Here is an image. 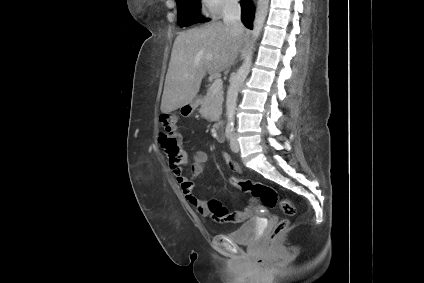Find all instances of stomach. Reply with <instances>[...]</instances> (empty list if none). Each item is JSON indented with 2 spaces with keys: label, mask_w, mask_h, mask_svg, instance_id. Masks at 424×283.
I'll return each mask as SVG.
<instances>
[{
  "label": "stomach",
  "mask_w": 424,
  "mask_h": 283,
  "mask_svg": "<svg viewBox=\"0 0 424 283\" xmlns=\"http://www.w3.org/2000/svg\"><path fill=\"white\" fill-rule=\"evenodd\" d=\"M188 108H190L191 110H193V109L195 108V103H194V101H193V102H191V103L185 104V105H183L182 107H180V114H181L182 116H185V115H184V114H185V111H186Z\"/></svg>",
  "instance_id": "1"
}]
</instances>
